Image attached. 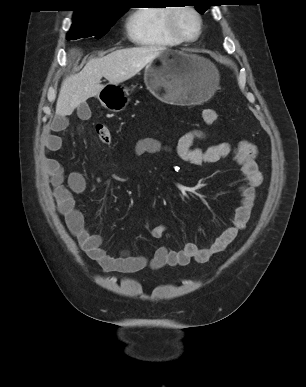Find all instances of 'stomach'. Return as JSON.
I'll list each match as a JSON object with an SVG mask.
<instances>
[{
    "label": "stomach",
    "instance_id": "0dacf381",
    "mask_svg": "<svg viewBox=\"0 0 306 387\" xmlns=\"http://www.w3.org/2000/svg\"><path fill=\"white\" fill-rule=\"evenodd\" d=\"M144 80L167 108H188L212 97L219 84V72L209 60L168 46L146 65ZM97 96L112 111L123 110L129 101L128 89L120 84L105 86Z\"/></svg>",
    "mask_w": 306,
    "mask_h": 387
}]
</instances>
